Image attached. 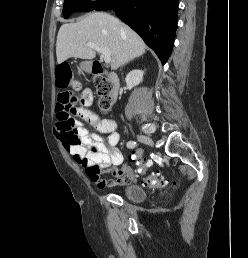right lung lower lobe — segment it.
I'll list each match as a JSON object with an SVG mask.
<instances>
[{
  "label": "right lung lower lobe",
  "instance_id": "obj_1",
  "mask_svg": "<svg viewBox=\"0 0 248 258\" xmlns=\"http://www.w3.org/2000/svg\"><path fill=\"white\" fill-rule=\"evenodd\" d=\"M177 8L178 0H109L96 10H115L117 16L154 50L164 65L174 43Z\"/></svg>",
  "mask_w": 248,
  "mask_h": 258
}]
</instances>
